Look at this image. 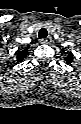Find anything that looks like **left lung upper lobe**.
<instances>
[{
	"label": "left lung upper lobe",
	"instance_id": "1",
	"mask_svg": "<svg viewBox=\"0 0 81 124\" xmlns=\"http://www.w3.org/2000/svg\"><path fill=\"white\" fill-rule=\"evenodd\" d=\"M65 60L68 64H71L73 61V54L69 53L68 56L65 58Z\"/></svg>",
	"mask_w": 81,
	"mask_h": 124
}]
</instances>
